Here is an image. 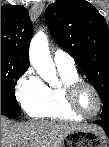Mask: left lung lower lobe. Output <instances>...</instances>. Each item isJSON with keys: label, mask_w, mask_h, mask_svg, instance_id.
Listing matches in <instances>:
<instances>
[{"label": "left lung lower lobe", "mask_w": 109, "mask_h": 147, "mask_svg": "<svg viewBox=\"0 0 109 147\" xmlns=\"http://www.w3.org/2000/svg\"><path fill=\"white\" fill-rule=\"evenodd\" d=\"M94 123L100 125L104 129L106 135L109 136V120L99 119L94 121Z\"/></svg>", "instance_id": "left-lung-lower-lobe-1"}]
</instances>
